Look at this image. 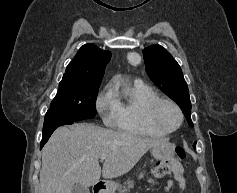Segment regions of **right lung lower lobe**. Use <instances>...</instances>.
<instances>
[{"label":"right lung lower lobe","instance_id":"obj_1","mask_svg":"<svg viewBox=\"0 0 237 193\" xmlns=\"http://www.w3.org/2000/svg\"><path fill=\"white\" fill-rule=\"evenodd\" d=\"M73 122H74L73 120L67 119L62 116L45 115L44 126H43V137L40 144V149H42V147L48 141L49 137L56 128L62 125L73 124Z\"/></svg>","mask_w":237,"mask_h":193}]
</instances>
